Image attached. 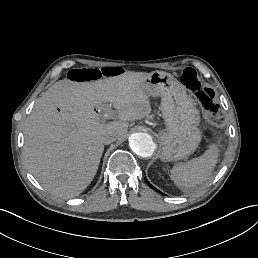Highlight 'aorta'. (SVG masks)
Returning <instances> with one entry per match:
<instances>
[{"label": "aorta", "mask_w": 258, "mask_h": 258, "mask_svg": "<svg viewBox=\"0 0 258 258\" xmlns=\"http://www.w3.org/2000/svg\"><path fill=\"white\" fill-rule=\"evenodd\" d=\"M129 146L132 151L141 157H151L156 149L152 137L143 132L134 133L129 139Z\"/></svg>", "instance_id": "obj_1"}]
</instances>
